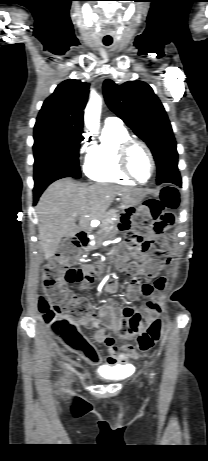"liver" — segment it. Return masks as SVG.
<instances>
[{"label":"liver","instance_id":"6515ba94","mask_svg":"<svg viewBox=\"0 0 208 461\" xmlns=\"http://www.w3.org/2000/svg\"><path fill=\"white\" fill-rule=\"evenodd\" d=\"M138 189L113 184L85 185L70 179L51 184L37 204L39 243L47 260L55 255L63 237L89 230L92 221L103 220L117 195ZM79 224H76V218Z\"/></svg>","mask_w":208,"mask_h":461}]
</instances>
